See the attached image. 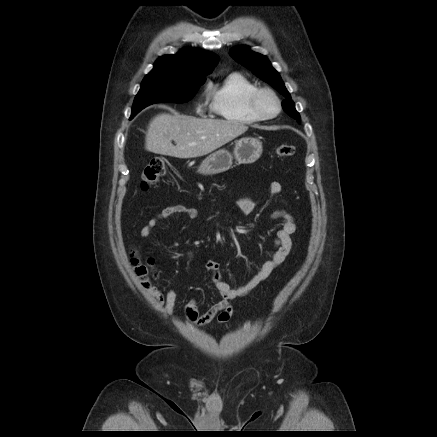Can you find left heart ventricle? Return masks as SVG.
Returning a JSON list of instances; mask_svg holds the SVG:
<instances>
[{"label": "left heart ventricle", "instance_id": "b2bd125f", "mask_svg": "<svg viewBox=\"0 0 437 437\" xmlns=\"http://www.w3.org/2000/svg\"><path fill=\"white\" fill-rule=\"evenodd\" d=\"M259 105L261 110L268 115L275 113L277 109L276 102L270 95H263Z\"/></svg>", "mask_w": 437, "mask_h": 437}]
</instances>
